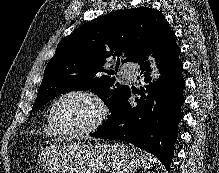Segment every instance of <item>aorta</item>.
<instances>
[{
    "instance_id": "obj_1",
    "label": "aorta",
    "mask_w": 219,
    "mask_h": 173,
    "mask_svg": "<svg viewBox=\"0 0 219 173\" xmlns=\"http://www.w3.org/2000/svg\"><path fill=\"white\" fill-rule=\"evenodd\" d=\"M152 68L154 69V68H155V65H153ZM158 77H159V74H158L157 72L152 75V79H153L154 81L157 80Z\"/></svg>"
}]
</instances>
